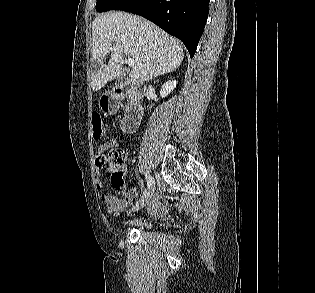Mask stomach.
Instances as JSON below:
<instances>
[{
  "label": "stomach",
  "instance_id": "obj_1",
  "mask_svg": "<svg viewBox=\"0 0 315 293\" xmlns=\"http://www.w3.org/2000/svg\"><path fill=\"white\" fill-rule=\"evenodd\" d=\"M122 97L119 92H102L99 99V106L104 113H109L111 110H119Z\"/></svg>",
  "mask_w": 315,
  "mask_h": 293
}]
</instances>
